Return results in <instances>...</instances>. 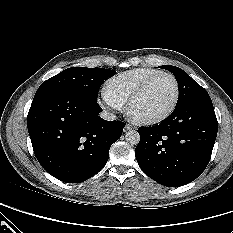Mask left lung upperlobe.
<instances>
[{"label": "left lung upper lobe", "mask_w": 233, "mask_h": 233, "mask_svg": "<svg viewBox=\"0 0 233 233\" xmlns=\"http://www.w3.org/2000/svg\"><path fill=\"white\" fill-rule=\"evenodd\" d=\"M160 68H164L172 72L177 80L179 86V98L176 105H180L197 95L207 93V91L203 87L195 82L182 69L171 65L160 66Z\"/></svg>", "instance_id": "left-lung-upper-lobe-1"}]
</instances>
